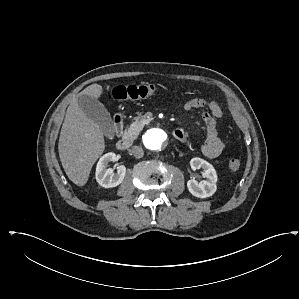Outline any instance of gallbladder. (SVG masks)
<instances>
[{"label": "gallbladder", "mask_w": 299, "mask_h": 299, "mask_svg": "<svg viewBox=\"0 0 299 299\" xmlns=\"http://www.w3.org/2000/svg\"><path fill=\"white\" fill-rule=\"evenodd\" d=\"M77 101L83 112L95 121L105 134H110L113 121L105 106L96 98L87 95L78 96Z\"/></svg>", "instance_id": "bac80fb5"}]
</instances>
